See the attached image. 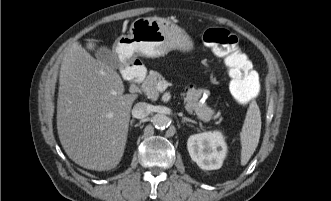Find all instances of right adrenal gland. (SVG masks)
<instances>
[{
  "label": "right adrenal gland",
  "instance_id": "right-adrenal-gland-1",
  "mask_svg": "<svg viewBox=\"0 0 331 201\" xmlns=\"http://www.w3.org/2000/svg\"><path fill=\"white\" fill-rule=\"evenodd\" d=\"M134 121H135L134 119L131 120L130 122L131 126H133Z\"/></svg>",
  "mask_w": 331,
  "mask_h": 201
}]
</instances>
